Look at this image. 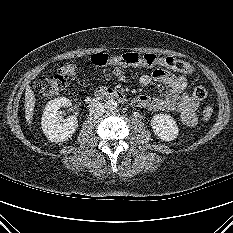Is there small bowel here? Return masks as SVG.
Wrapping results in <instances>:
<instances>
[{
	"label": "small bowel",
	"mask_w": 233,
	"mask_h": 233,
	"mask_svg": "<svg viewBox=\"0 0 233 233\" xmlns=\"http://www.w3.org/2000/svg\"><path fill=\"white\" fill-rule=\"evenodd\" d=\"M113 76L122 82H129V77L123 72L122 66L112 64ZM154 82L166 85L167 90L162 98L151 97L140 94L134 98L135 106L149 111L177 112L182 123L188 127H193L197 123L196 111L199 100L193 95L186 93L187 80L181 74H174L165 69L158 68L150 74H142L139 77V84L148 87Z\"/></svg>",
	"instance_id": "c3829d8e"
}]
</instances>
